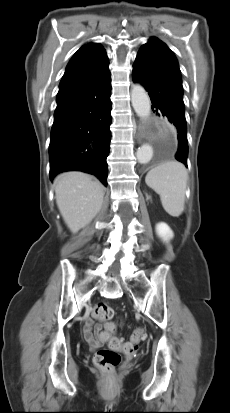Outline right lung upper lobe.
<instances>
[{
  "label": "right lung upper lobe",
  "instance_id": "cb5924a9",
  "mask_svg": "<svg viewBox=\"0 0 230 413\" xmlns=\"http://www.w3.org/2000/svg\"><path fill=\"white\" fill-rule=\"evenodd\" d=\"M109 71V60L104 48L98 43L83 45L71 58L59 88L95 79Z\"/></svg>",
  "mask_w": 230,
  "mask_h": 413
}]
</instances>
